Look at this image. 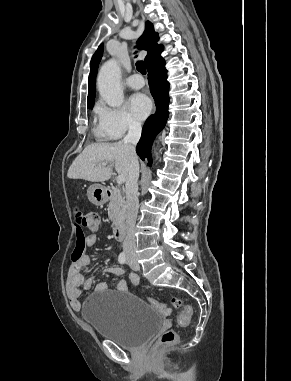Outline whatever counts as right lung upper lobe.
<instances>
[{
    "label": "right lung upper lobe",
    "mask_w": 291,
    "mask_h": 381,
    "mask_svg": "<svg viewBox=\"0 0 291 381\" xmlns=\"http://www.w3.org/2000/svg\"><path fill=\"white\" fill-rule=\"evenodd\" d=\"M159 40L158 33L153 29V25L148 21L146 22V29L143 35L138 40V45L140 49L148 51L147 56L145 57V62L147 67L151 66L158 60L162 59L161 52L163 51V45H158L157 41ZM103 53V44H101L95 54L93 55L90 62V74L88 78V104L94 103L95 98V79L97 74V69L99 62L101 60Z\"/></svg>",
    "instance_id": "obj_1"
}]
</instances>
